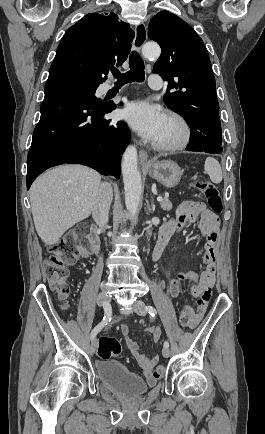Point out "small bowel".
Returning a JSON list of instances; mask_svg holds the SVG:
<instances>
[{
	"label": "small bowel",
	"mask_w": 265,
	"mask_h": 434,
	"mask_svg": "<svg viewBox=\"0 0 265 434\" xmlns=\"http://www.w3.org/2000/svg\"><path fill=\"white\" fill-rule=\"evenodd\" d=\"M198 223V227L202 234L207 235V249L204 255L205 270L201 275H192L191 271L180 272L169 282L168 292L171 298L175 299L181 291V282L183 280H199L197 286L191 289V294L196 297V307L184 306L182 310L187 311L193 323L190 328L196 327L204 317L211 298V289L215 282V244L220 226L218 216L201 201H185L180 204L176 211L175 217L168 220L162 225L158 235V241L163 240L166 245L170 238L179 233L186 224ZM214 231L211 233V229ZM152 341L157 343L160 339V329L153 327ZM120 332L124 338V342L133 354H137L138 360L144 369V376L148 385L152 386L156 382V378L152 374V368L156 363V358H148L139 355V344L129 336V328L126 324H122Z\"/></svg>",
	"instance_id": "small-bowel-1"
}]
</instances>
